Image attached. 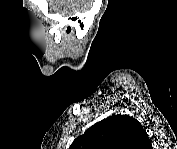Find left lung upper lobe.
<instances>
[{"label": "left lung upper lobe", "mask_w": 177, "mask_h": 149, "mask_svg": "<svg viewBox=\"0 0 177 149\" xmlns=\"http://www.w3.org/2000/svg\"><path fill=\"white\" fill-rule=\"evenodd\" d=\"M147 138L139 121L118 114L92 125L69 149H147Z\"/></svg>", "instance_id": "1"}]
</instances>
